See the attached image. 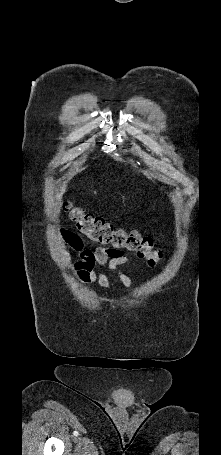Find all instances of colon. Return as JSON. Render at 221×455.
I'll return each instance as SVG.
<instances>
[{
    "instance_id": "obj_1",
    "label": "colon",
    "mask_w": 221,
    "mask_h": 455,
    "mask_svg": "<svg viewBox=\"0 0 221 455\" xmlns=\"http://www.w3.org/2000/svg\"><path fill=\"white\" fill-rule=\"evenodd\" d=\"M62 207L78 231L90 241L113 250L134 253L152 266L162 259V252L154 247L151 237L143 236L137 230L115 228L103 219L85 212L70 200L64 199Z\"/></svg>"
}]
</instances>
